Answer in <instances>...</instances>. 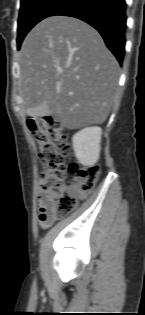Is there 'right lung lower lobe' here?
<instances>
[{"mask_svg":"<svg viewBox=\"0 0 145 315\" xmlns=\"http://www.w3.org/2000/svg\"><path fill=\"white\" fill-rule=\"evenodd\" d=\"M125 0H65L50 16L63 15L81 19L99 31L106 46L120 64L125 55Z\"/></svg>","mask_w":145,"mask_h":315,"instance_id":"right-lung-lower-lobe-1","label":"right lung lower lobe"}]
</instances>
